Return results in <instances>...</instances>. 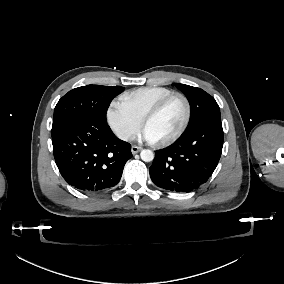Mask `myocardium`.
<instances>
[{
  "instance_id": "f54148a6",
  "label": "myocardium",
  "mask_w": 284,
  "mask_h": 284,
  "mask_svg": "<svg viewBox=\"0 0 284 284\" xmlns=\"http://www.w3.org/2000/svg\"><path fill=\"white\" fill-rule=\"evenodd\" d=\"M176 98H181L184 101L186 107L185 116L181 126L172 136L161 142H156V145L160 147H165L174 143L185 132L186 128L188 127V124L191 119V104L187 96L182 93H172L168 95L163 100L158 102L155 106H153L150 110H148L141 120L142 127H144L145 122L159 115L168 106V104Z\"/></svg>"
}]
</instances>
